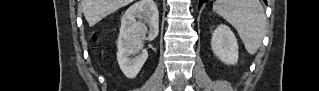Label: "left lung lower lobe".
I'll list each match as a JSON object with an SVG mask.
<instances>
[{"label":"left lung lower lobe","instance_id":"1","mask_svg":"<svg viewBox=\"0 0 319 91\" xmlns=\"http://www.w3.org/2000/svg\"><path fill=\"white\" fill-rule=\"evenodd\" d=\"M204 1H206V0H200L199 7L203 4ZM264 2H266V0H264Z\"/></svg>","mask_w":319,"mask_h":91}]
</instances>
